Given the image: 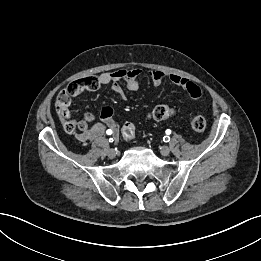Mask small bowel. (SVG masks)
I'll list each match as a JSON object with an SVG mask.
<instances>
[{"label": "small bowel", "instance_id": "obj_1", "mask_svg": "<svg viewBox=\"0 0 261 261\" xmlns=\"http://www.w3.org/2000/svg\"><path fill=\"white\" fill-rule=\"evenodd\" d=\"M141 70L138 68L120 69L113 72H105L97 77H92L94 86L87 90H96L103 85H111L112 89L119 95H123L121 82L131 91H136L139 88L138 76ZM150 78L155 85L161 84L165 80H169L177 86L182 87L190 96L193 103L197 102L201 96L200 88L191 80L181 77L176 74L166 73L163 71H152ZM101 118L103 123L95 124L91 127H86L81 133L76 136L81 142L94 140L102 136L107 130L113 132L117 131V123L114 118V112L111 108L105 107L101 111ZM92 115L86 117V121H92Z\"/></svg>", "mask_w": 261, "mask_h": 261}]
</instances>
